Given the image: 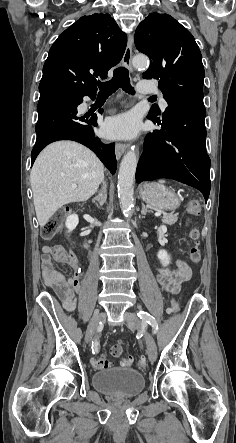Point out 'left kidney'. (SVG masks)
Returning a JSON list of instances; mask_svg holds the SVG:
<instances>
[{
  "label": "left kidney",
  "instance_id": "left-kidney-1",
  "mask_svg": "<svg viewBox=\"0 0 236 443\" xmlns=\"http://www.w3.org/2000/svg\"><path fill=\"white\" fill-rule=\"evenodd\" d=\"M157 257L163 266H168L170 264V255L166 250H159L157 253Z\"/></svg>",
  "mask_w": 236,
  "mask_h": 443
}]
</instances>
